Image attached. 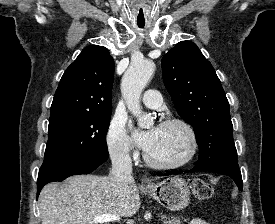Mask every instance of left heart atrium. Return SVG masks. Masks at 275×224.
Here are the masks:
<instances>
[{
	"label": "left heart atrium",
	"instance_id": "obj_1",
	"mask_svg": "<svg viewBox=\"0 0 275 224\" xmlns=\"http://www.w3.org/2000/svg\"><path fill=\"white\" fill-rule=\"evenodd\" d=\"M158 127H153L145 132H135L134 138L137 144L144 150L148 151L156 137Z\"/></svg>",
	"mask_w": 275,
	"mask_h": 224
}]
</instances>
